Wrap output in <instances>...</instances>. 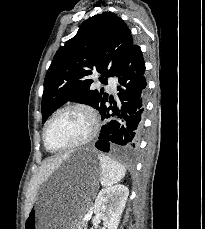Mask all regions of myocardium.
<instances>
[{"mask_svg":"<svg viewBox=\"0 0 205 229\" xmlns=\"http://www.w3.org/2000/svg\"><path fill=\"white\" fill-rule=\"evenodd\" d=\"M68 110H79L81 112H83L90 121V128L88 133L86 134V136L84 138H82L81 140L74 142L72 144H69L67 146L64 147H60V148H53L49 145L48 143V139H47V135H48V131L50 126L52 125V123L55 121V119L62 114L65 111ZM98 130V118L95 114V112L87 105L82 104V103H70L67 104L63 107H61L60 109H58L53 115L52 117L49 119V121L47 122L44 131H43V142L45 147L52 152H61V151H66V150H70V149H74V148H78L81 147L85 144H87L88 142H90L94 136L96 135Z\"/></svg>","mask_w":205,"mask_h":229,"instance_id":"myocardium-1","label":"myocardium"}]
</instances>
